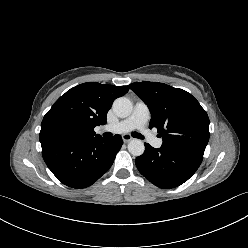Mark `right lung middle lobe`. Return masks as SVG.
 <instances>
[{"label":"right lung middle lobe","instance_id":"1","mask_svg":"<svg viewBox=\"0 0 248 248\" xmlns=\"http://www.w3.org/2000/svg\"><path fill=\"white\" fill-rule=\"evenodd\" d=\"M62 136V132L61 131H53L51 133V138H60Z\"/></svg>","mask_w":248,"mask_h":248}]
</instances>
